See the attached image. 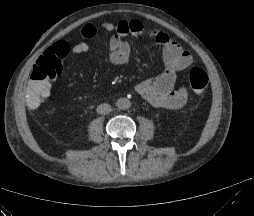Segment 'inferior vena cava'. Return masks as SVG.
<instances>
[{
    "label": "inferior vena cava",
    "instance_id": "1",
    "mask_svg": "<svg viewBox=\"0 0 254 216\" xmlns=\"http://www.w3.org/2000/svg\"><path fill=\"white\" fill-rule=\"evenodd\" d=\"M111 112V106L109 104H100L97 107V113L100 115H107Z\"/></svg>",
    "mask_w": 254,
    "mask_h": 216
}]
</instances>
